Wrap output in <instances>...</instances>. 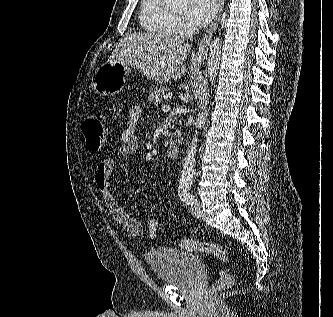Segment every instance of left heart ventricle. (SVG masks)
Returning a JSON list of instances; mask_svg holds the SVG:
<instances>
[{
    "mask_svg": "<svg viewBox=\"0 0 333 317\" xmlns=\"http://www.w3.org/2000/svg\"><path fill=\"white\" fill-rule=\"evenodd\" d=\"M177 12H178V13H181V12H182V10H177Z\"/></svg>",
    "mask_w": 333,
    "mask_h": 317,
    "instance_id": "1",
    "label": "left heart ventricle"
}]
</instances>
